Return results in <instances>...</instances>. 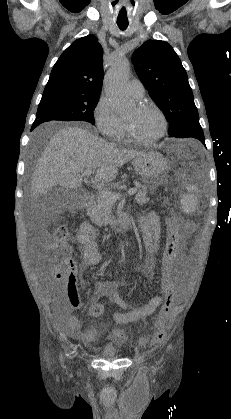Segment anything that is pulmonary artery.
I'll return each instance as SVG.
<instances>
[{
    "instance_id": "e3ab8cb5",
    "label": "pulmonary artery",
    "mask_w": 231,
    "mask_h": 419,
    "mask_svg": "<svg viewBox=\"0 0 231 419\" xmlns=\"http://www.w3.org/2000/svg\"><path fill=\"white\" fill-rule=\"evenodd\" d=\"M128 92L132 97L141 99L144 96L145 89L140 80L133 79L128 83Z\"/></svg>"
}]
</instances>
